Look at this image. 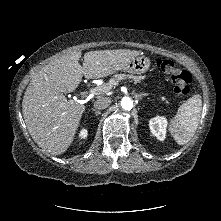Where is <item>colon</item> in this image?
Segmentation results:
<instances>
[{
    "label": "colon",
    "instance_id": "1",
    "mask_svg": "<svg viewBox=\"0 0 221 221\" xmlns=\"http://www.w3.org/2000/svg\"><path fill=\"white\" fill-rule=\"evenodd\" d=\"M156 67L168 75L173 83V92L178 96H186L190 92L191 74L175 66L171 60L159 58Z\"/></svg>",
    "mask_w": 221,
    "mask_h": 221
}]
</instances>
